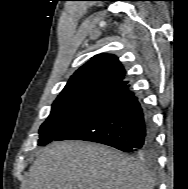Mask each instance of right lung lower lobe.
I'll list each match as a JSON object with an SVG mask.
<instances>
[{
    "label": "right lung lower lobe",
    "mask_w": 188,
    "mask_h": 189,
    "mask_svg": "<svg viewBox=\"0 0 188 189\" xmlns=\"http://www.w3.org/2000/svg\"><path fill=\"white\" fill-rule=\"evenodd\" d=\"M54 140H85L124 152L153 150L155 132L149 112L125 85L103 97Z\"/></svg>",
    "instance_id": "right-lung-lower-lobe-1"
}]
</instances>
